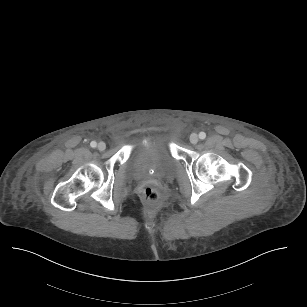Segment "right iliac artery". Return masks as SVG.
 Returning <instances> with one entry per match:
<instances>
[{
    "label": "right iliac artery",
    "mask_w": 307,
    "mask_h": 307,
    "mask_svg": "<svg viewBox=\"0 0 307 307\" xmlns=\"http://www.w3.org/2000/svg\"><path fill=\"white\" fill-rule=\"evenodd\" d=\"M90 146L93 147V148H95V147L97 146V143H96L95 141H92V142L90 143Z\"/></svg>",
    "instance_id": "82829eb1"
}]
</instances>
